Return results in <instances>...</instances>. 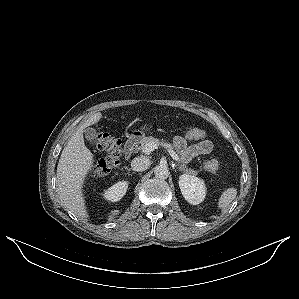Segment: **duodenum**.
Segmentation results:
<instances>
[{"label":"duodenum","mask_w":299,"mask_h":299,"mask_svg":"<svg viewBox=\"0 0 299 299\" xmlns=\"http://www.w3.org/2000/svg\"><path fill=\"white\" fill-rule=\"evenodd\" d=\"M135 145H136V139L133 137L129 138L126 141L125 146H124V154H125L126 159H129L132 156Z\"/></svg>","instance_id":"duodenum-1"}]
</instances>
